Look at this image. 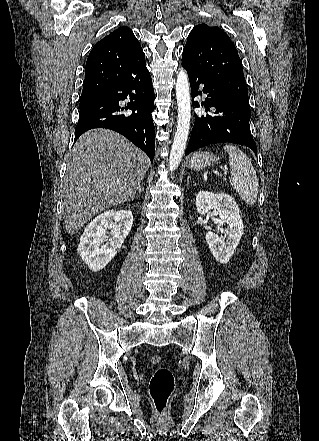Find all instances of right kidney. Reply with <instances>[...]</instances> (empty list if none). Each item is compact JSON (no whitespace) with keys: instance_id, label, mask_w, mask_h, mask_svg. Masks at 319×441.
I'll use <instances>...</instances> for the list:
<instances>
[{"instance_id":"obj_1","label":"right kidney","mask_w":319,"mask_h":441,"mask_svg":"<svg viewBox=\"0 0 319 441\" xmlns=\"http://www.w3.org/2000/svg\"><path fill=\"white\" fill-rule=\"evenodd\" d=\"M133 224L130 210H109L92 220L85 228L78 251L90 270H102L117 254ZM112 229L107 242L106 231Z\"/></svg>"}]
</instances>
